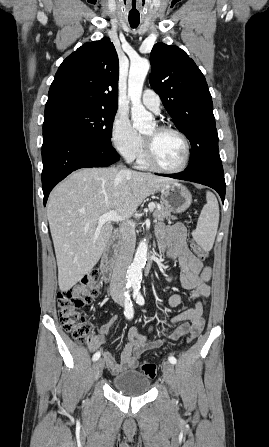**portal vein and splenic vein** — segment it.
I'll use <instances>...</instances> for the list:
<instances>
[{
  "instance_id": "18ae733b",
  "label": "portal vein and splenic vein",
  "mask_w": 269,
  "mask_h": 447,
  "mask_svg": "<svg viewBox=\"0 0 269 447\" xmlns=\"http://www.w3.org/2000/svg\"><path fill=\"white\" fill-rule=\"evenodd\" d=\"M149 211H154L156 204L153 201L148 202L147 204ZM122 220H125V218H121V216H117L116 212L114 210H110L108 214H103V216H99L98 218V224H106V222H122Z\"/></svg>"
}]
</instances>
